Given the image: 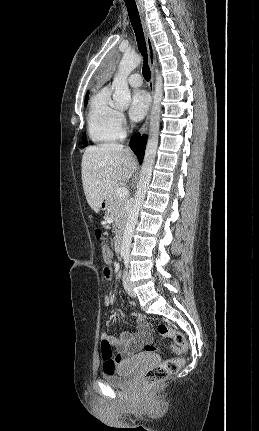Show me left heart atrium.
I'll return each mask as SVG.
<instances>
[{
    "instance_id": "obj_1",
    "label": "left heart atrium",
    "mask_w": 259,
    "mask_h": 431,
    "mask_svg": "<svg viewBox=\"0 0 259 431\" xmlns=\"http://www.w3.org/2000/svg\"><path fill=\"white\" fill-rule=\"evenodd\" d=\"M150 98L146 91L136 90L131 96L129 115L132 120L140 121L147 113Z\"/></svg>"
}]
</instances>
